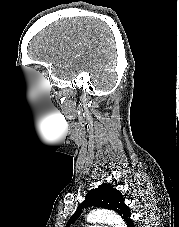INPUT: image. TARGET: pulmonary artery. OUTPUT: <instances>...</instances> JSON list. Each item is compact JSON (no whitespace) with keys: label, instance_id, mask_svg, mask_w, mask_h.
<instances>
[{"label":"pulmonary artery","instance_id":"e3ab8cb5","mask_svg":"<svg viewBox=\"0 0 179 227\" xmlns=\"http://www.w3.org/2000/svg\"><path fill=\"white\" fill-rule=\"evenodd\" d=\"M89 227H108V226L104 224H92Z\"/></svg>","mask_w":179,"mask_h":227}]
</instances>
